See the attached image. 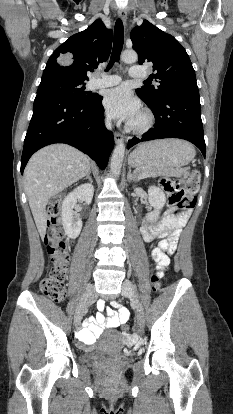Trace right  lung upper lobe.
Instances as JSON below:
<instances>
[{"mask_svg":"<svg viewBox=\"0 0 233 414\" xmlns=\"http://www.w3.org/2000/svg\"><path fill=\"white\" fill-rule=\"evenodd\" d=\"M112 30L96 20L86 30L74 34L50 56L42 77L60 76L87 81V72L97 68L110 55Z\"/></svg>","mask_w":233,"mask_h":414,"instance_id":"cb5924a9","label":"right lung upper lobe"}]
</instances>
